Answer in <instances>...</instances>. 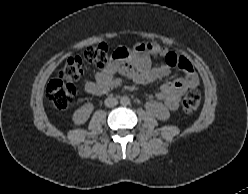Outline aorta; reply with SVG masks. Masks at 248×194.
Here are the masks:
<instances>
[{
	"mask_svg": "<svg viewBox=\"0 0 248 194\" xmlns=\"http://www.w3.org/2000/svg\"><path fill=\"white\" fill-rule=\"evenodd\" d=\"M120 103L122 106H127L130 104V98L128 96H123L120 98Z\"/></svg>",
	"mask_w": 248,
	"mask_h": 194,
	"instance_id": "aorta-1",
	"label": "aorta"
}]
</instances>
